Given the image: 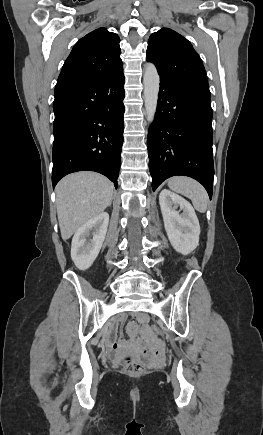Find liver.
<instances>
[{
  "instance_id": "1",
  "label": "liver",
  "mask_w": 263,
  "mask_h": 435,
  "mask_svg": "<svg viewBox=\"0 0 263 435\" xmlns=\"http://www.w3.org/2000/svg\"><path fill=\"white\" fill-rule=\"evenodd\" d=\"M56 205L63 240L111 205L114 186L94 172H78L64 177L56 186Z\"/></svg>"
}]
</instances>
